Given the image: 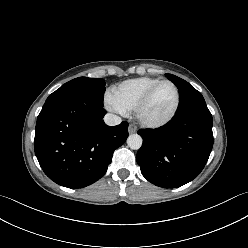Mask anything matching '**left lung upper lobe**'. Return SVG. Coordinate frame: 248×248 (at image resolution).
<instances>
[{"label":"left lung upper lobe","mask_w":248,"mask_h":248,"mask_svg":"<svg viewBox=\"0 0 248 248\" xmlns=\"http://www.w3.org/2000/svg\"><path fill=\"white\" fill-rule=\"evenodd\" d=\"M165 76L171 80L179 90V106L177 112H181L198 102L205 101L201 93L185 80L172 74H165Z\"/></svg>","instance_id":"1"}]
</instances>
